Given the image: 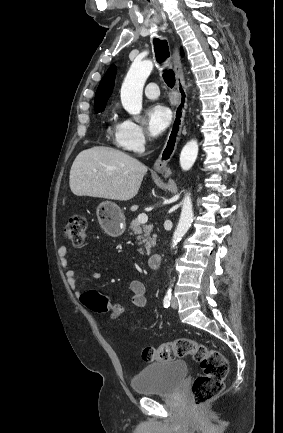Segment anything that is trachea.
Masks as SVG:
<instances>
[{"instance_id":"1","label":"trachea","mask_w":283,"mask_h":433,"mask_svg":"<svg viewBox=\"0 0 283 433\" xmlns=\"http://www.w3.org/2000/svg\"><path fill=\"white\" fill-rule=\"evenodd\" d=\"M155 58L158 64L162 65L169 57L170 51L166 40H160L158 38L153 39ZM163 79L168 87L173 88L175 85V74L171 68H165L163 70Z\"/></svg>"}]
</instances>
